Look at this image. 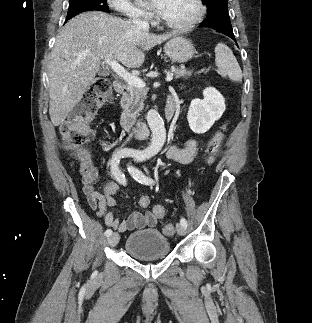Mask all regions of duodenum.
<instances>
[{"instance_id": "1", "label": "duodenum", "mask_w": 312, "mask_h": 323, "mask_svg": "<svg viewBox=\"0 0 312 323\" xmlns=\"http://www.w3.org/2000/svg\"><path fill=\"white\" fill-rule=\"evenodd\" d=\"M125 86H126V82L124 81L123 78H118L113 82L114 90L122 97V101H121L122 110L120 113V124L125 130L133 132L135 138L143 139L146 137L148 130L145 125L138 124L135 117L130 112L127 111L126 109L127 99L125 96V92H126ZM176 111H177L176 101L172 96H170L167 100V104L164 109V115L166 119L168 121H171L175 117Z\"/></svg>"}]
</instances>
